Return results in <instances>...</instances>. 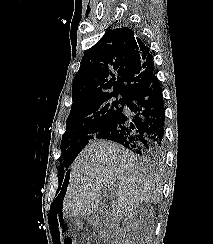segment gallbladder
Returning a JSON list of instances; mask_svg holds the SVG:
<instances>
[{
	"label": "gallbladder",
	"instance_id": "gallbladder-1",
	"mask_svg": "<svg viewBox=\"0 0 213 244\" xmlns=\"http://www.w3.org/2000/svg\"><path fill=\"white\" fill-rule=\"evenodd\" d=\"M87 222L94 229H102L111 225L112 218L108 210L105 207H101L95 214L87 218Z\"/></svg>",
	"mask_w": 213,
	"mask_h": 244
}]
</instances>
